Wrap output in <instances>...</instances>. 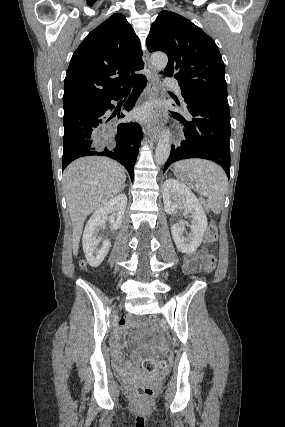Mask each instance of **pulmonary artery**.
<instances>
[{"mask_svg":"<svg viewBox=\"0 0 285 427\" xmlns=\"http://www.w3.org/2000/svg\"><path fill=\"white\" fill-rule=\"evenodd\" d=\"M165 83H166V84H168V85H172V86L175 88V90H176L178 93H180V88H179V85H178V83H177V81H176V80H174V79H172V78H166V79H165Z\"/></svg>","mask_w":285,"mask_h":427,"instance_id":"pulmonary-artery-1","label":"pulmonary artery"}]
</instances>
